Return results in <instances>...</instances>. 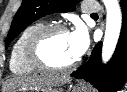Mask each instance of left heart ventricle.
Returning a JSON list of instances; mask_svg holds the SVG:
<instances>
[{
	"instance_id": "obj_1",
	"label": "left heart ventricle",
	"mask_w": 127,
	"mask_h": 92,
	"mask_svg": "<svg viewBox=\"0 0 127 92\" xmlns=\"http://www.w3.org/2000/svg\"><path fill=\"white\" fill-rule=\"evenodd\" d=\"M44 59L53 66L62 67L75 61L70 33H56L44 44L42 49Z\"/></svg>"
}]
</instances>
